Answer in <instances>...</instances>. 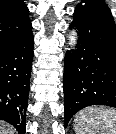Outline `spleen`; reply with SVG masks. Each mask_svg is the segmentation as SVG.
Here are the masks:
<instances>
[{
    "label": "spleen",
    "mask_w": 116,
    "mask_h": 134,
    "mask_svg": "<svg viewBox=\"0 0 116 134\" xmlns=\"http://www.w3.org/2000/svg\"><path fill=\"white\" fill-rule=\"evenodd\" d=\"M75 134H116V110L88 107L74 119Z\"/></svg>",
    "instance_id": "spleen-1"
}]
</instances>
